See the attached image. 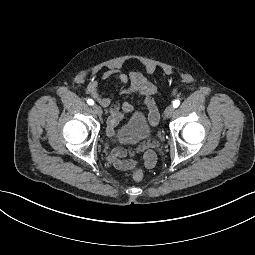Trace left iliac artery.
<instances>
[{
	"mask_svg": "<svg viewBox=\"0 0 255 255\" xmlns=\"http://www.w3.org/2000/svg\"><path fill=\"white\" fill-rule=\"evenodd\" d=\"M179 105H180V101H179V100H175V101L173 102L174 108L178 107Z\"/></svg>",
	"mask_w": 255,
	"mask_h": 255,
	"instance_id": "obj_1",
	"label": "left iliac artery"
}]
</instances>
